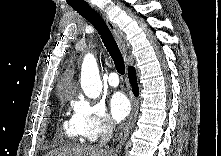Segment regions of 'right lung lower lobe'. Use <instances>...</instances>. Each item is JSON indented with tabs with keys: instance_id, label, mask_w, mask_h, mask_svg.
I'll use <instances>...</instances> for the list:
<instances>
[{
	"instance_id": "right-lung-lower-lobe-1",
	"label": "right lung lower lobe",
	"mask_w": 221,
	"mask_h": 156,
	"mask_svg": "<svg viewBox=\"0 0 221 156\" xmlns=\"http://www.w3.org/2000/svg\"><path fill=\"white\" fill-rule=\"evenodd\" d=\"M128 78L132 87V92L135 96L139 95V88L137 84L136 71L134 67H129L128 69Z\"/></svg>"
}]
</instances>
